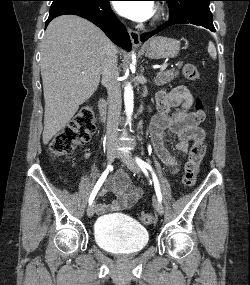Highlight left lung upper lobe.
Segmentation results:
<instances>
[{"mask_svg":"<svg viewBox=\"0 0 250 285\" xmlns=\"http://www.w3.org/2000/svg\"><path fill=\"white\" fill-rule=\"evenodd\" d=\"M166 1L170 8L169 19H182L189 15L202 14L212 17L209 8L212 0H162Z\"/></svg>","mask_w":250,"mask_h":285,"instance_id":"left-lung-upper-lobe-1","label":"left lung upper lobe"}]
</instances>
